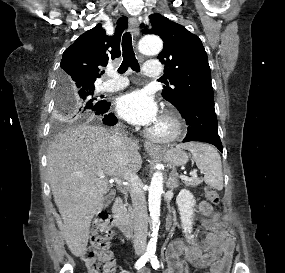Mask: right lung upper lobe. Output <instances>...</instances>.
Instances as JSON below:
<instances>
[{"label":"right lung upper lobe","instance_id":"obj_1","mask_svg":"<svg viewBox=\"0 0 285 273\" xmlns=\"http://www.w3.org/2000/svg\"><path fill=\"white\" fill-rule=\"evenodd\" d=\"M126 28L127 18L120 17L112 36L106 35L101 24L83 33L64 51L61 75L72 86H94L95 80L102 74L100 68L121 55L120 39Z\"/></svg>","mask_w":285,"mask_h":273}]
</instances>
